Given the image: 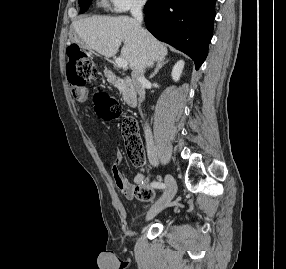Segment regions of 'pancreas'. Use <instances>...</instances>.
<instances>
[{"label": "pancreas", "mask_w": 286, "mask_h": 269, "mask_svg": "<svg viewBox=\"0 0 286 269\" xmlns=\"http://www.w3.org/2000/svg\"><path fill=\"white\" fill-rule=\"evenodd\" d=\"M105 76L107 77L108 82H110L111 84L115 86H119L118 82L114 79L112 73L105 71Z\"/></svg>", "instance_id": "1"}]
</instances>
